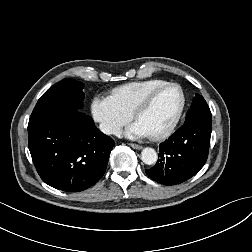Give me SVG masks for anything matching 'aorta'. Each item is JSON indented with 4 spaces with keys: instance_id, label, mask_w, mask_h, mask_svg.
<instances>
[{
    "instance_id": "obj_1",
    "label": "aorta",
    "mask_w": 252,
    "mask_h": 252,
    "mask_svg": "<svg viewBox=\"0 0 252 252\" xmlns=\"http://www.w3.org/2000/svg\"><path fill=\"white\" fill-rule=\"evenodd\" d=\"M158 155L153 148L146 147L141 152V160L147 165H153L157 162Z\"/></svg>"
}]
</instances>
